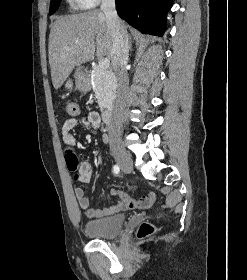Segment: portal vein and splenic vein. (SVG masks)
<instances>
[{
    "mask_svg": "<svg viewBox=\"0 0 247 280\" xmlns=\"http://www.w3.org/2000/svg\"><path fill=\"white\" fill-rule=\"evenodd\" d=\"M110 65V61L107 58H101L98 63V67L101 69H107Z\"/></svg>",
    "mask_w": 247,
    "mask_h": 280,
    "instance_id": "18ae733b",
    "label": "portal vein and splenic vein"
}]
</instances>
